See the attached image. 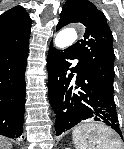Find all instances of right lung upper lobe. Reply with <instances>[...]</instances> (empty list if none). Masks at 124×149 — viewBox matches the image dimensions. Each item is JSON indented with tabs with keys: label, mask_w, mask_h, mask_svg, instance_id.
Wrapping results in <instances>:
<instances>
[{
	"label": "right lung upper lobe",
	"mask_w": 124,
	"mask_h": 149,
	"mask_svg": "<svg viewBox=\"0 0 124 149\" xmlns=\"http://www.w3.org/2000/svg\"><path fill=\"white\" fill-rule=\"evenodd\" d=\"M31 19L25 10L14 7L0 16V49L21 47L29 42Z\"/></svg>",
	"instance_id": "1"
}]
</instances>
